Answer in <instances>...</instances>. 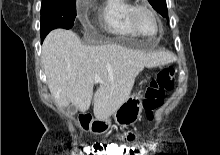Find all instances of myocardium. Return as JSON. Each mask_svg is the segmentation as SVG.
<instances>
[{
  "instance_id": "1",
  "label": "myocardium",
  "mask_w": 220,
  "mask_h": 155,
  "mask_svg": "<svg viewBox=\"0 0 220 155\" xmlns=\"http://www.w3.org/2000/svg\"><path fill=\"white\" fill-rule=\"evenodd\" d=\"M140 11H147L152 15V17L155 19V21L157 23V32L154 34V36H157L158 34H160V32L162 30L161 20H160L158 14L150 6H148L146 4L133 5L132 8L130 9L129 22H130V25L133 28V30L139 36L148 37L140 31V29L138 28L137 22H136V16H137L138 12H140Z\"/></svg>"
}]
</instances>
